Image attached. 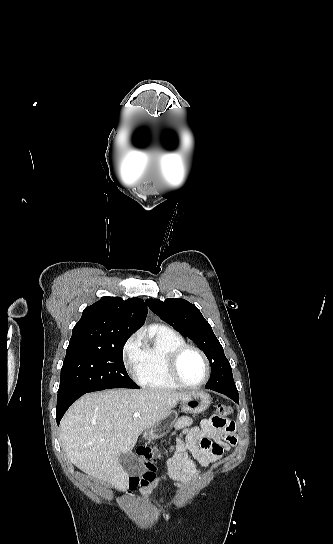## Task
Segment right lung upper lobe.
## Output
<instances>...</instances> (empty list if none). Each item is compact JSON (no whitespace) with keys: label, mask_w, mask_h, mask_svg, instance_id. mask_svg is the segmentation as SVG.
<instances>
[{"label":"right lung upper lobe","mask_w":333,"mask_h":544,"mask_svg":"<svg viewBox=\"0 0 333 544\" xmlns=\"http://www.w3.org/2000/svg\"><path fill=\"white\" fill-rule=\"evenodd\" d=\"M146 316L147 306L140 298L103 297L84 309L67 349L104 347L118 337L131 336Z\"/></svg>","instance_id":"obj_1"}]
</instances>
